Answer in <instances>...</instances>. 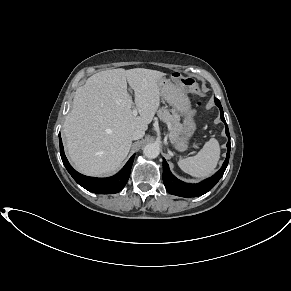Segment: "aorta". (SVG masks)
Masks as SVG:
<instances>
[{"instance_id":"1","label":"aorta","mask_w":291,"mask_h":291,"mask_svg":"<svg viewBox=\"0 0 291 291\" xmlns=\"http://www.w3.org/2000/svg\"><path fill=\"white\" fill-rule=\"evenodd\" d=\"M143 153L147 158L153 159L159 155L160 148L155 143L147 144L143 149Z\"/></svg>"}]
</instances>
